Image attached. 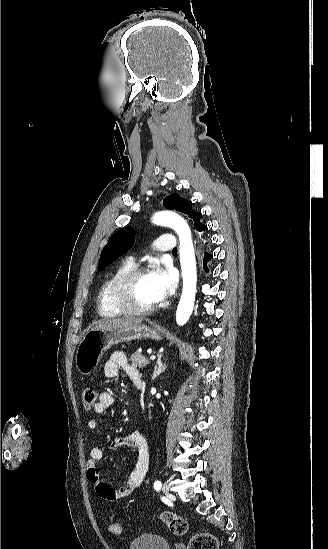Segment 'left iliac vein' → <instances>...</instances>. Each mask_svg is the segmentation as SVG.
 <instances>
[{"label":"left iliac vein","mask_w":328,"mask_h":549,"mask_svg":"<svg viewBox=\"0 0 328 549\" xmlns=\"http://www.w3.org/2000/svg\"><path fill=\"white\" fill-rule=\"evenodd\" d=\"M162 491L166 494H169L170 493V488H169V485H168V482H165L163 487H162Z\"/></svg>","instance_id":"left-iliac-vein-1"}]
</instances>
